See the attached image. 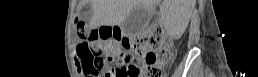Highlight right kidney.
<instances>
[{
	"label": "right kidney",
	"instance_id": "1",
	"mask_svg": "<svg viewBox=\"0 0 258 77\" xmlns=\"http://www.w3.org/2000/svg\"><path fill=\"white\" fill-rule=\"evenodd\" d=\"M165 10H171V7H164ZM187 25L181 23L180 18L177 16L167 23L169 36L174 39H179L185 31Z\"/></svg>",
	"mask_w": 258,
	"mask_h": 77
}]
</instances>
